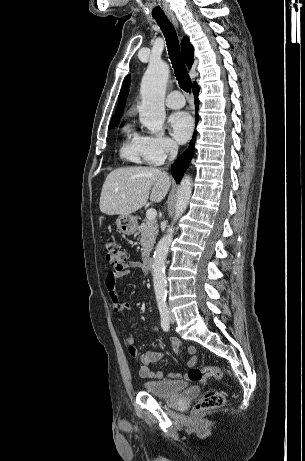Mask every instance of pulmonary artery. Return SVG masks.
<instances>
[{
  "label": "pulmonary artery",
  "mask_w": 305,
  "mask_h": 461,
  "mask_svg": "<svg viewBox=\"0 0 305 461\" xmlns=\"http://www.w3.org/2000/svg\"><path fill=\"white\" fill-rule=\"evenodd\" d=\"M166 105L171 109L182 108L185 104V99L179 91H172L166 97Z\"/></svg>",
  "instance_id": "obj_1"
}]
</instances>
